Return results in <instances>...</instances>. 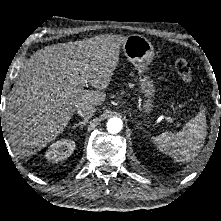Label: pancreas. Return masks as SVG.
I'll return each instance as SVG.
<instances>
[{
  "label": "pancreas",
  "mask_w": 221,
  "mask_h": 221,
  "mask_svg": "<svg viewBox=\"0 0 221 221\" xmlns=\"http://www.w3.org/2000/svg\"><path fill=\"white\" fill-rule=\"evenodd\" d=\"M129 86H132V84H131V83H129Z\"/></svg>",
  "instance_id": "obj_1"
}]
</instances>
